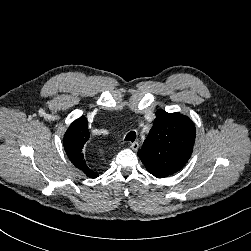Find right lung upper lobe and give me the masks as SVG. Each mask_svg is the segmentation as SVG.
I'll use <instances>...</instances> for the list:
<instances>
[{"label": "right lung upper lobe", "instance_id": "cb5924a9", "mask_svg": "<svg viewBox=\"0 0 251 251\" xmlns=\"http://www.w3.org/2000/svg\"><path fill=\"white\" fill-rule=\"evenodd\" d=\"M89 138L87 119L82 116L75 120L66 131L63 139L64 149L74 166L83 171L88 177L96 178L98 174L89 168L82 153L83 146Z\"/></svg>", "mask_w": 251, "mask_h": 251}]
</instances>
